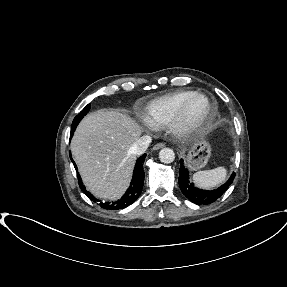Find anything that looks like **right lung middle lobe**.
<instances>
[{
    "label": "right lung middle lobe",
    "instance_id": "right-lung-middle-lobe-1",
    "mask_svg": "<svg viewBox=\"0 0 287 287\" xmlns=\"http://www.w3.org/2000/svg\"><path fill=\"white\" fill-rule=\"evenodd\" d=\"M90 107V104L86 105L85 108L74 118L71 126V131H74L76 129L81 119L89 112Z\"/></svg>",
    "mask_w": 287,
    "mask_h": 287
}]
</instances>
